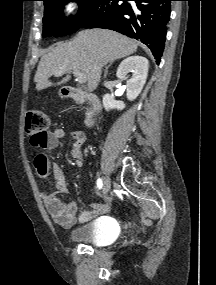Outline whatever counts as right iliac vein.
Returning <instances> with one entry per match:
<instances>
[{"mask_svg":"<svg viewBox=\"0 0 216 285\" xmlns=\"http://www.w3.org/2000/svg\"><path fill=\"white\" fill-rule=\"evenodd\" d=\"M110 188H111V180H110L109 177H106V178L104 179V183H103V193H104L105 195H107L108 192L110 191Z\"/></svg>","mask_w":216,"mask_h":285,"instance_id":"obj_1","label":"right iliac vein"}]
</instances>
